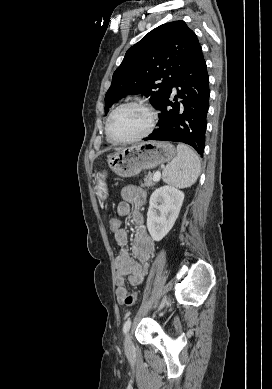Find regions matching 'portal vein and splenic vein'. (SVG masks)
<instances>
[{
  "instance_id": "portal-vein-and-splenic-vein-1",
  "label": "portal vein and splenic vein",
  "mask_w": 272,
  "mask_h": 389,
  "mask_svg": "<svg viewBox=\"0 0 272 389\" xmlns=\"http://www.w3.org/2000/svg\"><path fill=\"white\" fill-rule=\"evenodd\" d=\"M160 177H161V173L159 171H157L154 176H153V181L154 182H157L160 180Z\"/></svg>"
}]
</instances>
